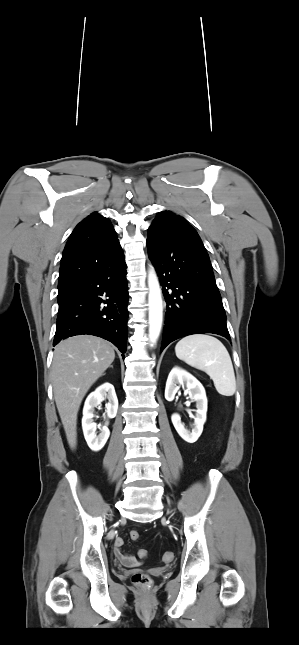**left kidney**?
I'll use <instances>...</instances> for the list:
<instances>
[{
	"label": "left kidney",
	"instance_id": "left-kidney-1",
	"mask_svg": "<svg viewBox=\"0 0 299 645\" xmlns=\"http://www.w3.org/2000/svg\"><path fill=\"white\" fill-rule=\"evenodd\" d=\"M180 386H185L190 398L196 402L192 431L184 427L179 414H173L171 420L181 438L188 443H194L200 437L206 421L207 397L204 387L194 376L179 367H174L166 382L165 399L173 401Z\"/></svg>",
	"mask_w": 299,
	"mask_h": 645
}]
</instances>
